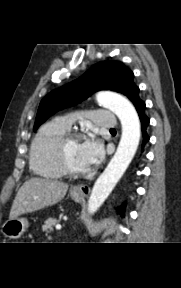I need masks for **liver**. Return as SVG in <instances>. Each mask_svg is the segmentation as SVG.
I'll use <instances>...</instances> for the list:
<instances>
[{
	"label": "liver",
	"mask_w": 181,
	"mask_h": 288,
	"mask_svg": "<svg viewBox=\"0 0 181 288\" xmlns=\"http://www.w3.org/2000/svg\"><path fill=\"white\" fill-rule=\"evenodd\" d=\"M68 184L33 177L20 187L13 201L10 218L31 213L58 203L67 193Z\"/></svg>",
	"instance_id": "liver-1"
}]
</instances>
